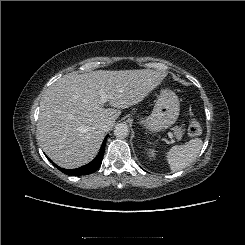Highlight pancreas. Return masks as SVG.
<instances>
[{
  "instance_id": "cf45deb5",
  "label": "pancreas",
  "mask_w": 245,
  "mask_h": 245,
  "mask_svg": "<svg viewBox=\"0 0 245 245\" xmlns=\"http://www.w3.org/2000/svg\"><path fill=\"white\" fill-rule=\"evenodd\" d=\"M177 139H181L183 135V130L180 127H175L174 129Z\"/></svg>"
}]
</instances>
